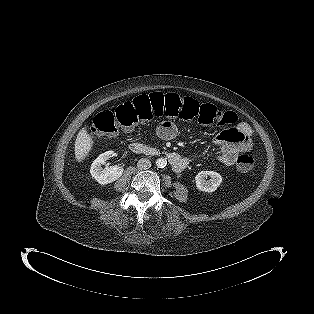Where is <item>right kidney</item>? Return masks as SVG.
<instances>
[{
    "label": "right kidney",
    "mask_w": 314,
    "mask_h": 314,
    "mask_svg": "<svg viewBox=\"0 0 314 314\" xmlns=\"http://www.w3.org/2000/svg\"><path fill=\"white\" fill-rule=\"evenodd\" d=\"M113 156V151H106L100 154L91 165L90 173L101 185L112 183L119 179L123 174V168L121 166H106L103 168V164Z\"/></svg>",
    "instance_id": "ca27d5eb"
}]
</instances>
